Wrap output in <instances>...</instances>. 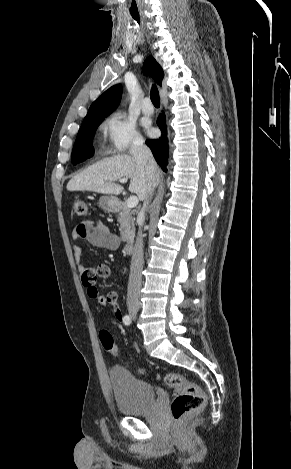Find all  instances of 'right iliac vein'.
Here are the masks:
<instances>
[{
	"label": "right iliac vein",
	"instance_id": "right-iliac-vein-1",
	"mask_svg": "<svg viewBox=\"0 0 291 469\" xmlns=\"http://www.w3.org/2000/svg\"><path fill=\"white\" fill-rule=\"evenodd\" d=\"M128 310H129L130 316H131L132 318H136L137 312H138V307L131 305V306H129Z\"/></svg>",
	"mask_w": 291,
	"mask_h": 469
}]
</instances>
